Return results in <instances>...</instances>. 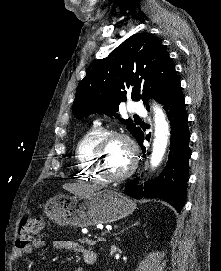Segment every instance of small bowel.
<instances>
[{
	"label": "small bowel",
	"instance_id": "small-bowel-1",
	"mask_svg": "<svg viewBox=\"0 0 221 271\" xmlns=\"http://www.w3.org/2000/svg\"><path fill=\"white\" fill-rule=\"evenodd\" d=\"M45 246V242L41 239H36L32 244L24 247V248H15L12 252V257L14 260L21 257L23 254H30L34 248H42ZM52 248L55 251H73L78 254L85 256L93 255L95 256V253L85 246L81 245L80 243L70 240V239H55L52 241ZM75 271H82V268L78 267L75 269Z\"/></svg>",
	"mask_w": 221,
	"mask_h": 271
}]
</instances>
